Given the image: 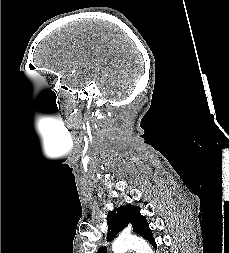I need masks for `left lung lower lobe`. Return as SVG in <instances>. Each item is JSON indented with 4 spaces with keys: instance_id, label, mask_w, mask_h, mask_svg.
Masks as SVG:
<instances>
[{
    "instance_id": "1",
    "label": "left lung lower lobe",
    "mask_w": 229,
    "mask_h": 253,
    "mask_svg": "<svg viewBox=\"0 0 229 253\" xmlns=\"http://www.w3.org/2000/svg\"><path fill=\"white\" fill-rule=\"evenodd\" d=\"M151 244L154 246V248H156V243H155V241L151 242Z\"/></svg>"
}]
</instances>
